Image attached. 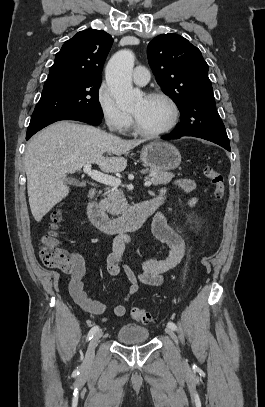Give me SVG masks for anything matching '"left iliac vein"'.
<instances>
[{
    "instance_id": "4c4485c4",
    "label": "left iliac vein",
    "mask_w": 265,
    "mask_h": 407,
    "mask_svg": "<svg viewBox=\"0 0 265 407\" xmlns=\"http://www.w3.org/2000/svg\"><path fill=\"white\" fill-rule=\"evenodd\" d=\"M165 332H166V334L169 335L176 343H178L177 336H176V334L174 333V331H173L171 328H169V327L165 328Z\"/></svg>"
}]
</instances>
